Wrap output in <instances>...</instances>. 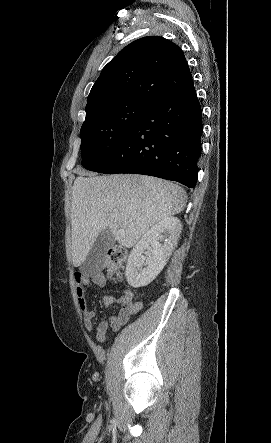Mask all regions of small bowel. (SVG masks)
<instances>
[{
	"label": "small bowel",
	"mask_w": 271,
	"mask_h": 443,
	"mask_svg": "<svg viewBox=\"0 0 271 443\" xmlns=\"http://www.w3.org/2000/svg\"><path fill=\"white\" fill-rule=\"evenodd\" d=\"M74 281L79 308L83 314L84 326L88 331L96 328V339L99 342L107 341L108 327H111L115 331L119 330L133 315L137 314L142 309L141 302L133 301V292L130 289H124L119 297L105 296L103 298V303L107 308L120 306V310L116 315L107 320H102L95 327L94 320L96 312L87 304L85 288L104 287L107 283V279L102 272H97L91 275L75 273Z\"/></svg>",
	"instance_id": "c3829d8e"
}]
</instances>
